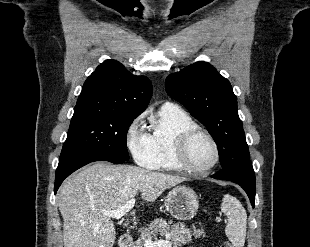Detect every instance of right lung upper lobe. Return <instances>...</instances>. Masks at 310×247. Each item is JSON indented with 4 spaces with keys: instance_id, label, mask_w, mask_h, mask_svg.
I'll list each match as a JSON object with an SVG mask.
<instances>
[{
    "instance_id": "obj_1",
    "label": "right lung upper lobe",
    "mask_w": 310,
    "mask_h": 247,
    "mask_svg": "<svg viewBox=\"0 0 310 247\" xmlns=\"http://www.w3.org/2000/svg\"><path fill=\"white\" fill-rule=\"evenodd\" d=\"M152 84L129 73L115 60H106L85 81L74 111H104L138 116L147 107Z\"/></svg>"
}]
</instances>
